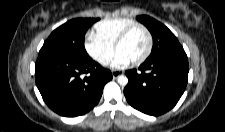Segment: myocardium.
<instances>
[{"instance_id": "f54148a6", "label": "myocardium", "mask_w": 225, "mask_h": 132, "mask_svg": "<svg viewBox=\"0 0 225 132\" xmlns=\"http://www.w3.org/2000/svg\"><path fill=\"white\" fill-rule=\"evenodd\" d=\"M137 29H141L145 32L147 39H148V45H147V49L145 51V53L139 57L136 60L131 61V64L133 65H139L141 63H143L144 61H146V59L150 56L151 52H152V48H153V37L152 34L150 32V30L142 25V24H134L128 28H126L116 39L114 47H115V51L118 52V49L120 47V45L128 38V36L135 30Z\"/></svg>"}]
</instances>
